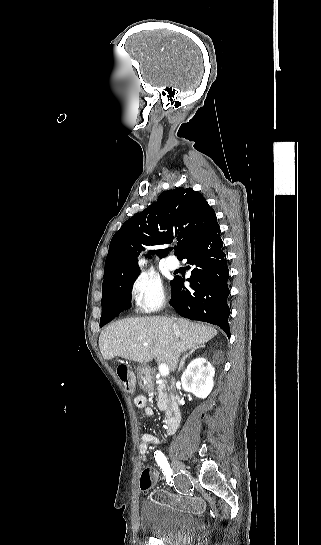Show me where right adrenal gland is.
<instances>
[{
  "label": "right adrenal gland",
  "mask_w": 321,
  "mask_h": 545,
  "mask_svg": "<svg viewBox=\"0 0 321 545\" xmlns=\"http://www.w3.org/2000/svg\"><path fill=\"white\" fill-rule=\"evenodd\" d=\"M203 347H205V345H199V347H194V349H192V351H190V353H188V355H185V357H183L182 361H180L178 371H181L182 367H184V363H185L186 359H188V357H190V355H192V353H194V351H197V349H203Z\"/></svg>",
  "instance_id": "right-adrenal-gland-1"
}]
</instances>
